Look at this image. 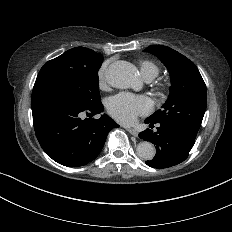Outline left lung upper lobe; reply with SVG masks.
<instances>
[{"label": "left lung upper lobe", "mask_w": 232, "mask_h": 232, "mask_svg": "<svg viewBox=\"0 0 232 232\" xmlns=\"http://www.w3.org/2000/svg\"><path fill=\"white\" fill-rule=\"evenodd\" d=\"M145 51L157 56L167 67L172 84L162 109L148 119L155 123L174 124L196 137L207 107L206 85L198 68L167 46L151 45Z\"/></svg>", "instance_id": "obj_1"}]
</instances>
